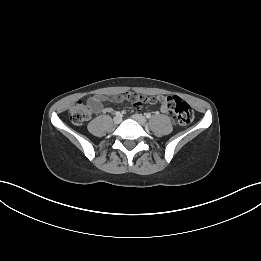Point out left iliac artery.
<instances>
[{"label":"left iliac artery","mask_w":261,"mask_h":261,"mask_svg":"<svg viewBox=\"0 0 261 261\" xmlns=\"http://www.w3.org/2000/svg\"><path fill=\"white\" fill-rule=\"evenodd\" d=\"M146 117H147V118H150V117H151V114H150V113H147V114H146Z\"/></svg>","instance_id":"obj_1"}]
</instances>
